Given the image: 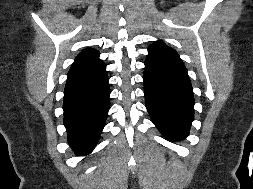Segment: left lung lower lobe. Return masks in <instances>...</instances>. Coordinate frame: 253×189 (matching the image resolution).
<instances>
[{"label":"left lung lower lobe","mask_w":253,"mask_h":189,"mask_svg":"<svg viewBox=\"0 0 253 189\" xmlns=\"http://www.w3.org/2000/svg\"><path fill=\"white\" fill-rule=\"evenodd\" d=\"M144 95L147 111L169 141L186 138L194 119V98L186 71L162 63L145 62Z\"/></svg>","instance_id":"obj_1"}]
</instances>
